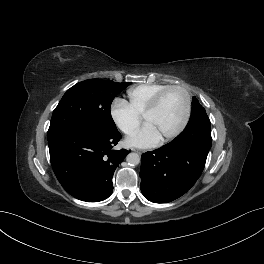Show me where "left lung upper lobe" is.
Segmentation results:
<instances>
[{"label": "left lung upper lobe", "instance_id": "obj_1", "mask_svg": "<svg viewBox=\"0 0 264 264\" xmlns=\"http://www.w3.org/2000/svg\"><path fill=\"white\" fill-rule=\"evenodd\" d=\"M198 112L202 113L204 115V118L206 119V121L208 123H210V120H209V118H208V116L206 114L205 109L199 104L197 98L193 97V100H192V112H191L190 120L193 119L194 117H198L196 115V113H198ZM195 120H197V119H193V121H195Z\"/></svg>", "mask_w": 264, "mask_h": 264}]
</instances>
